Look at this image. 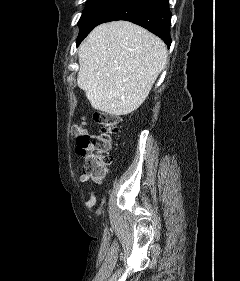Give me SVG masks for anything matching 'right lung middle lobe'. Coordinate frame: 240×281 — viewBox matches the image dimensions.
<instances>
[{"mask_svg": "<svg viewBox=\"0 0 240 281\" xmlns=\"http://www.w3.org/2000/svg\"><path fill=\"white\" fill-rule=\"evenodd\" d=\"M119 0H87L85 9L78 22L80 26L77 43H80L88 33L97 26L98 21L103 15L114 6Z\"/></svg>", "mask_w": 240, "mask_h": 281, "instance_id": "right-lung-middle-lobe-1", "label": "right lung middle lobe"}]
</instances>
